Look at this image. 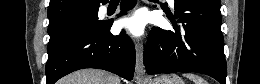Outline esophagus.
I'll list each match as a JSON object with an SVG mask.
<instances>
[{
	"label": "esophagus",
	"mask_w": 260,
	"mask_h": 84,
	"mask_svg": "<svg viewBox=\"0 0 260 84\" xmlns=\"http://www.w3.org/2000/svg\"><path fill=\"white\" fill-rule=\"evenodd\" d=\"M145 67L143 64V44L141 41L136 43V64H135V79L138 83L146 79Z\"/></svg>",
	"instance_id": "34e87169"
}]
</instances>
